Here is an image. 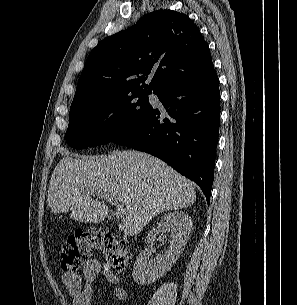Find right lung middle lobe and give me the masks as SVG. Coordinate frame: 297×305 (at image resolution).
<instances>
[{
    "mask_svg": "<svg viewBox=\"0 0 297 305\" xmlns=\"http://www.w3.org/2000/svg\"><path fill=\"white\" fill-rule=\"evenodd\" d=\"M150 91H129L85 101L70 108L66 142L84 149L111 142L118 134L137 123L154 108Z\"/></svg>",
    "mask_w": 297,
    "mask_h": 305,
    "instance_id": "right-lung-middle-lobe-1",
    "label": "right lung middle lobe"
}]
</instances>
